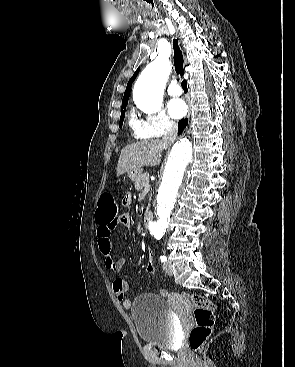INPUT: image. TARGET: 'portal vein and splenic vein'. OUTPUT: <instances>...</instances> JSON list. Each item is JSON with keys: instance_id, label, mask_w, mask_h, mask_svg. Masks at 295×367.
<instances>
[{"instance_id": "portal-vein-and-splenic-vein-1", "label": "portal vein and splenic vein", "mask_w": 295, "mask_h": 367, "mask_svg": "<svg viewBox=\"0 0 295 367\" xmlns=\"http://www.w3.org/2000/svg\"><path fill=\"white\" fill-rule=\"evenodd\" d=\"M149 189H150V185H149V183H146V184H145V189H144V191H145V192H147V191H149Z\"/></svg>"}]
</instances>
